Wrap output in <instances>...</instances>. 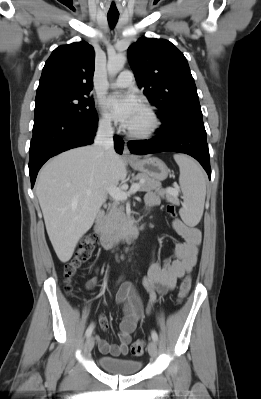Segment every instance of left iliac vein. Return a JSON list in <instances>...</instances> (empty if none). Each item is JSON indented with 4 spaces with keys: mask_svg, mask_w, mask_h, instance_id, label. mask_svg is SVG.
Instances as JSON below:
<instances>
[{
    "mask_svg": "<svg viewBox=\"0 0 261 399\" xmlns=\"http://www.w3.org/2000/svg\"><path fill=\"white\" fill-rule=\"evenodd\" d=\"M148 352L152 358H156L158 350H157V344L155 341H150L148 344Z\"/></svg>",
    "mask_w": 261,
    "mask_h": 399,
    "instance_id": "1",
    "label": "left iliac vein"
}]
</instances>
